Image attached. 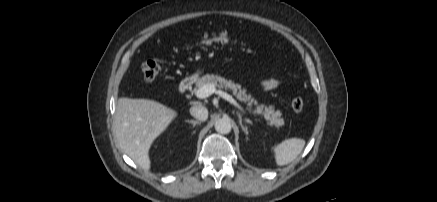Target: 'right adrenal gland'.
Instances as JSON below:
<instances>
[{
	"mask_svg": "<svg viewBox=\"0 0 437 202\" xmlns=\"http://www.w3.org/2000/svg\"><path fill=\"white\" fill-rule=\"evenodd\" d=\"M185 122L192 124L193 127H195L197 124H200V122L196 120H186Z\"/></svg>",
	"mask_w": 437,
	"mask_h": 202,
	"instance_id": "obj_1",
	"label": "right adrenal gland"
}]
</instances>
